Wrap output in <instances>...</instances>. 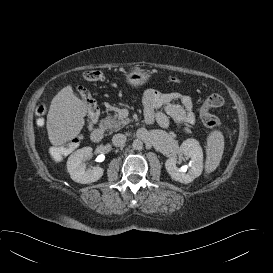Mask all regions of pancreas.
<instances>
[{"label":"pancreas","instance_id":"obj_1","mask_svg":"<svg viewBox=\"0 0 273 273\" xmlns=\"http://www.w3.org/2000/svg\"><path fill=\"white\" fill-rule=\"evenodd\" d=\"M103 124L110 132H117L125 125L131 122L129 118H121L118 114L108 115L103 121ZM186 132H190L189 128H185Z\"/></svg>","mask_w":273,"mask_h":273}]
</instances>
